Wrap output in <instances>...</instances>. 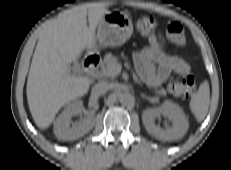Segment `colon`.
Returning a JSON list of instances; mask_svg holds the SVG:
<instances>
[{"instance_id": "obj_1", "label": "colon", "mask_w": 231, "mask_h": 170, "mask_svg": "<svg viewBox=\"0 0 231 170\" xmlns=\"http://www.w3.org/2000/svg\"><path fill=\"white\" fill-rule=\"evenodd\" d=\"M136 29L139 34L151 37L157 29V22L151 16H140L136 20ZM196 80L192 75H188L183 79L175 80L168 85V90L171 94L188 98L196 92Z\"/></svg>"}]
</instances>
